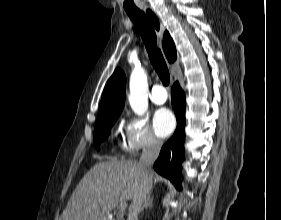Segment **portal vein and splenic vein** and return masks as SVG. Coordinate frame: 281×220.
Segmentation results:
<instances>
[{
    "mask_svg": "<svg viewBox=\"0 0 281 220\" xmlns=\"http://www.w3.org/2000/svg\"><path fill=\"white\" fill-rule=\"evenodd\" d=\"M127 207V203L126 202H124V203H122L121 205H120V209L123 211V210H125V208Z\"/></svg>",
    "mask_w": 281,
    "mask_h": 220,
    "instance_id": "1",
    "label": "portal vein and splenic vein"
}]
</instances>
